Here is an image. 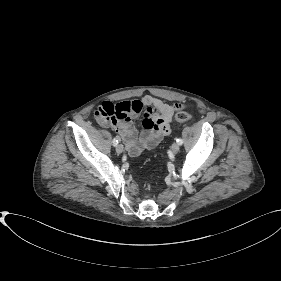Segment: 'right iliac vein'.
Returning a JSON list of instances; mask_svg holds the SVG:
<instances>
[{
  "instance_id": "63e3f726",
  "label": "right iliac vein",
  "mask_w": 281,
  "mask_h": 281,
  "mask_svg": "<svg viewBox=\"0 0 281 281\" xmlns=\"http://www.w3.org/2000/svg\"><path fill=\"white\" fill-rule=\"evenodd\" d=\"M123 150H124V147H123L122 144H118V145L116 146V152H117L118 154L122 153Z\"/></svg>"
}]
</instances>
